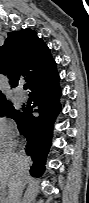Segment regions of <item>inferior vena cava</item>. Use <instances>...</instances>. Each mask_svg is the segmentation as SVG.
Returning <instances> with one entry per match:
<instances>
[{"instance_id":"obj_1","label":"inferior vena cava","mask_w":89,"mask_h":203,"mask_svg":"<svg viewBox=\"0 0 89 203\" xmlns=\"http://www.w3.org/2000/svg\"><path fill=\"white\" fill-rule=\"evenodd\" d=\"M19 157L20 158H25L26 157L25 151H24L23 148L20 150ZM24 172H25V169H24ZM26 176H27V173H25V175H23L22 181L19 182V184H18V188H17V191H16V196L14 198V203H21V194H22V190H23V188L25 186V178H26Z\"/></svg>"}]
</instances>
